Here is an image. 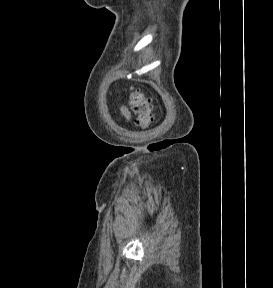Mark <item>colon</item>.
<instances>
[{
    "label": "colon",
    "instance_id": "5ec220e1",
    "mask_svg": "<svg viewBox=\"0 0 273 288\" xmlns=\"http://www.w3.org/2000/svg\"><path fill=\"white\" fill-rule=\"evenodd\" d=\"M130 104L133 112L136 114V122L139 127L145 129L152 121V108L150 100L139 91H132L130 93Z\"/></svg>",
    "mask_w": 273,
    "mask_h": 288
}]
</instances>
